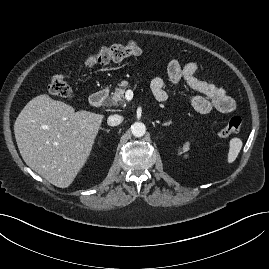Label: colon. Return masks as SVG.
Listing matches in <instances>:
<instances>
[{
	"label": "colon",
	"mask_w": 269,
	"mask_h": 269,
	"mask_svg": "<svg viewBox=\"0 0 269 269\" xmlns=\"http://www.w3.org/2000/svg\"><path fill=\"white\" fill-rule=\"evenodd\" d=\"M141 48L136 42H128L125 45H112L102 47L99 50L89 53L83 64L86 67H92L97 64H104L111 61H121L125 58L140 54ZM49 93L55 97L70 100L73 96L71 86L66 80L64 73H56L51 77L49 84ZM242 120L238 116H234L218 131V136L225 138L236 134L240 131Z\"/></svg>",
	"instance_id": "5ec220e1"
}]
</instances>
